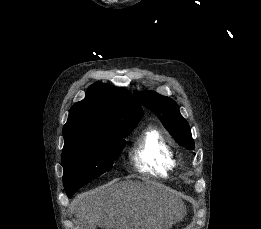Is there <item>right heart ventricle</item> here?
I'll return each instance as SVG.
<instances>
[{"label":"right heart ventricle","mask_w":261,"mask_h":229,"mask_svg":"<svg viewBox=\"0 0 261 229\" xmlns=\"http://www.w3.org/2000/svg\"><path fill=\"white\" fill-rule=\"evenodd\" d=\"M141 171L163 173L175 167V154L167 136L156 126H148L135 140L130 152Z\"/></svg>","instance_id":"obj_1"}]
</instances>
